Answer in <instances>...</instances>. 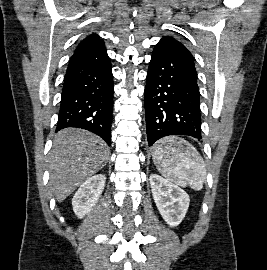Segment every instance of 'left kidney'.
I'll list each match as a JSON object with an SVG mask.
<instances>
[{"instance_id":"obj_1","label":"left kidney","mask_w":267,"mask_h":270,"mask_svg":"<svg viewBox=\"0 0 267 270\" xmlns=\"http://www.w3.org/2000/svg\"><path fill=\"white\" fill-rule=\"evenodd\" d=\"M150 184L155 204L162 218L169 226H178L188 210L189 195L158 174L150 175Z\"/></svg>"}]
</instances>
